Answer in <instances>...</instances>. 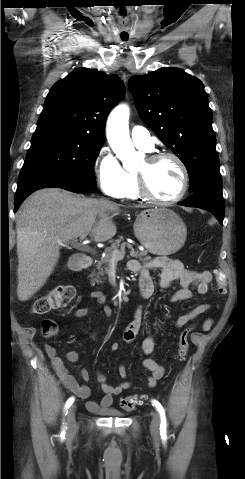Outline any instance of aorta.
<instances>
[{"label":"aorta","mask_w":245,"mask_h":479,"mask_svg":"<svg viewBox=\"0 0 245 479\" xmlns=\"http://www.w3.org/2000/svg\"><path fill=\"white\" fill-rule=\"evenodd\" d=\"M129 107L127 105L117 106L109 115L106 135L110 147L116 156L122 161L126 170H131L132 164L139 163V154L129 136Z\"/></svg>","instance_id":"762f6f07"}]
</instances>
